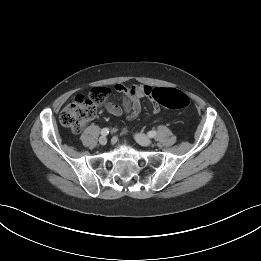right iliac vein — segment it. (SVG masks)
Masks as SVG:
<instances>
[{"mask_svg":"<svg viewBox=\"0 0 261 261\" xmlns=\"http://www.w3.org/2000/svg\"><path fill=\"white\" fill-rule=\"evenodd\" d=\"M99 143H100L101 145H106V143H107V138H106L105 136H101V137L99 138Z\"/></svg>","mask_w":261,"mask_h":261,"instance_id":"63e3f726","label":"right iliac vein"}]
</instances>
